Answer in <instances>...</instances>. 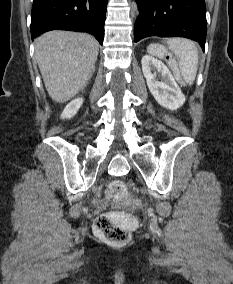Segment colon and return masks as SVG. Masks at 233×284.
Returning <instances> with one entry per match:
<instances>
[{
    "instance_id": "obj_1",
    "label": "colon",
    "mask_w": 233,
    "mask_h": 284,
    "mask_svg": "<svg viewBox=\"0 0 233 284\" xmlns=\"http://www.w3.org/2000/svg\"><path fill=\"white\" fill-rule=\"evenodd\" d=\"M151 56L165 60L171 69L175 79L184 85V79L179 71L176 59L160 44H152L148 47ZM111 197L121 202L127 197V187L120 179L113 180L109 185ZM133 217L124 212H108L101 214L95 221L96 234L108 242L114 244L127 243L131 238L130 227L133 225Z\"/></svg>"
}]
</instances>
